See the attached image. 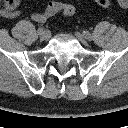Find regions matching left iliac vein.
I'll list each match as a JSON object with an SVG mask.
<instances>
[{
    "instance_id": "1",
    "label": "left iliac vein",
    "mask_w": 128,
    "mask_h": 128,
    "mask_svg": "<svg viewBox=\"0 0 128 128\" xmlns=\"http://www.w3.org/2000/svg\"><path fill=\"white\" fill-rule=\"evenodd\" d=\"M75 36L77 37V39L84 45L87 44V39L85 38V36L79 32L75 33Z\"/></svg>"
}]
</instances>
